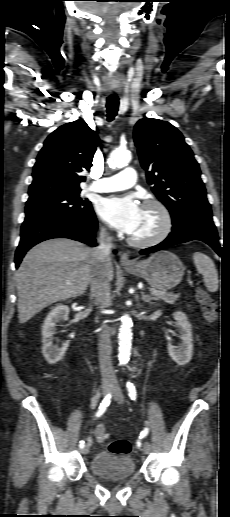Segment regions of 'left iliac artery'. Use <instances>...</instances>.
<instances>
[{"mask_svg": "<svg viewBox=\"0 0 230 517\" xmlns=\"http://www.w3.org/2000/svg\"><path fill=\"white\" fill-rule=\"evenodd\" d=\"M126 387H127V391H128V395L129 397L131 398V400H136V389H135V386L133 385V383L131 382H127L126 384ZM149 433V428H145L140 436H139V440L137 441V446L140 447L141 446V442L140 440L143 439L144 437L147 436V434Z\"/></svg>", "mask_w": 230, "mask_h": 517, "instance_id": "obj_1", "label": "left iliac artery"}]
</instances>
